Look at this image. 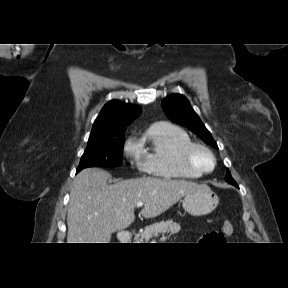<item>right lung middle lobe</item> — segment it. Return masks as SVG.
<instances>
[{
	"mask_svg": "<svg viewBox=\"0 0 288 288\" xmlns=\"http://www.w3.org/2000/svg\"><path fill=\"white\" fill-rule=\"evenodd\" d=\"M124 133L88 141L77 172L87 167H114L122 164Z\"/></svg>",
	"mask_w": 288,
	"mask_h": 288,
	"instance_id": "dd1d6c3e",
	"label": "right lung middle lobe"
}]
</instances>
